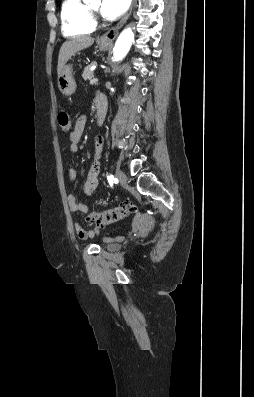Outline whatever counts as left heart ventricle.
Masks as SVG:
<instances>
[{"mask_svg":"<svg viewBox=\"0 0 254 397\" xmlns=\"http://www.w3.org/2000/svg\"><path fill=\"white\" fill-rule=\"evenodd\" d=\"M92 8H93L94 10H96V9L98 8V6L96 5V6H93Z\"/></svg>","mask_w":254,"mask_h":397,"instance_id":"obj_1","label":"left heart ventricle"}]
</instances>
